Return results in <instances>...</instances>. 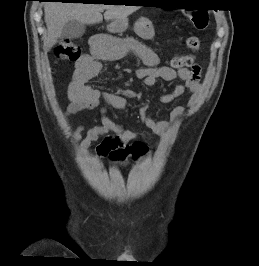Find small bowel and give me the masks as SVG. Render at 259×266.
I'll return each instance as SVG.
<instances>
[{
	"label": "small bowel",
	"instance_id": "c3829d8e",
	"mask_svg": "<svg viewBox=\"0 0 259 266\" xmlns=\"http://www.w3.org/2000/svg\"><path fill=\"white\" fill-rule=\"evenodd\" d=\"M126 54L134 55L145 65V67L137 70L136 75L139 79L144 80L149 87L158 80L169 82L176 77L182 80V83L178 84L172 92L160 95L158 97L160 102L168 104L185 93H189L191 95L189 106L195 104L201 88V68L199 65H193L190 69L183 68L175 71L168 66L160 65L158 55L151 48L133 38L97 35L91 40L90 53L80 57L75 64V72L68 88L70 103L66 110L67 115L96 108L101 101L117 110L126 107L124 98L114 93L92 89L87 85L89 80L99 74L102 66L101 61L117 59ZM106 112V108L101 107V124L88 129L85 137H82L83 126H79L75 131L74 140L80 142L83 155L87 153L91 144L102 136H104L103 140L96 146V154L100 159L111 157L113 152L124 149L138 137L137 130L124 128L111 120ZM184 112L185 107L175 106L170 113L169 121H157L148 113V107L143 106L139 110V115L145 127L163 138L171 122L182 116Z\"/></svg>",
	"mask_w": 259,
	"mask_h": 266
}]
</instances>
